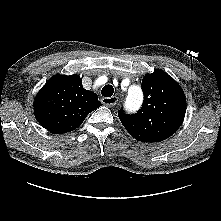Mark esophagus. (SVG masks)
Listing matches in <instances>:
<instances>
[{
	"label": "esophagus",
	"mask_w": 221,
	"mask_h": 221,
	"mask_svg": "<svg viewBox=\"0 0 221 221\" xmlns=\"http://www.w3.org/2000/svg\"><path fill=\"white\" fill-rule=\"evenodd\" d=\"M101 101L107 107H113L114 105H116L118 98L116 96L103 97Z\"/></svg>",
	"instance_id": "obj_1"
}]
</instances>
